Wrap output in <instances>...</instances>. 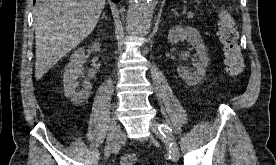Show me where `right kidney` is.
<instances>
[{"label":"right kidney","instance_id":"ca27d5eb","mask_svg":"<svg viewBox=\"0 0 276 165\" xmlns=\"http://www.w3.org/2000/svg\"><path fill=\"white\" fill-rule=\"evenodd\" d=\"M99 50L100 44L97 42L93 43L91 51L97 52ZM85 60V49L79 48L71 55L70 62L65 67L63 76L65 95L76 105L83 103L89 97L92 89L91 83L85 79L82 83V89L76 90L79 87L78 79L84 78L83 65Z\"/></svg>","mask_w":276,"mask_h":165}]
</instances>
